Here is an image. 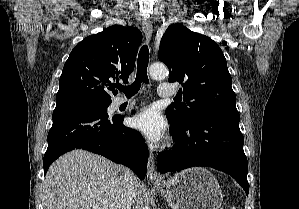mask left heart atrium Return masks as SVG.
<instances>
[{
  "mask_svg": "<svg viewBox=\"0 0 299 209\" xmlns=\"http://www.w3.org/2000/svg\"><path fill=\"white\" fill-rule=\"evenodd\" d=\"M131 126L151 142L159 141L166 131V121L155 107L145 108L134 115Z\"/></svg>",
  "mask_w": 299,
  "mask_h": 209,
  "instance_id": "39dd6f15",
  "label": "left heart atrium"
}]
</instances>
